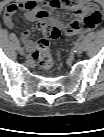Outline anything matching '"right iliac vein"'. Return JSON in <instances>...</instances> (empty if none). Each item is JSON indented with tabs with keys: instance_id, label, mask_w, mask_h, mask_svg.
<instances>
[{
	"instance_id": "obj_1",
	"label": "right iliac vein",
	"mask_w": 104,
	"mask_h": 137,
	"mask_svg": "<svg viewBox=\"0 0 104 137\" xmlns=\"http://www.w3.org/2000/svg\"><path fill=\"white\" fill-rule=\"evenodd\" d=\"M18 52L20 55H25V51L23 48H18Z\"/></svg>"
}]
</instances>
